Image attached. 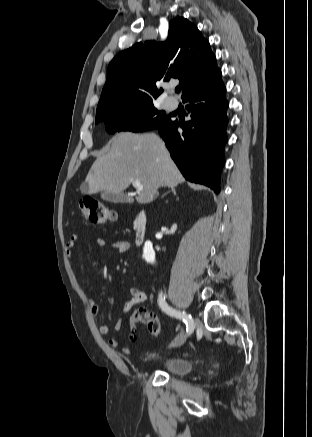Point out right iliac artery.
Wrapping results in <instances>:
<instances>
[{"mask_svg": "<svg viewBox=\"0 0 312 437\" xmlns=\"http://www.w3.org/2000/svg\"><path fill=\"white\" fill-rule=\"evenodd\" d=\"M158 303H159V306L162 309V311H164L166 314H168L172 317H176L178 319H182L183 322L186 324V331L189 334L192 333V331L194 329V325H193V319H192L191 315L185 314L184 312L177 311V310L173 309L172 307H170L166 303L165 296H163L162 292L159 294Z\"/></svg>", "mask_w": 312, "mask_h": 437, "instance_id": "1", "label": "right iliac artery"}]
</instances>
